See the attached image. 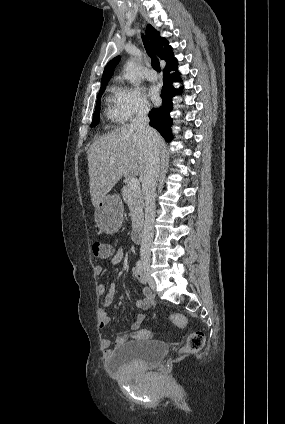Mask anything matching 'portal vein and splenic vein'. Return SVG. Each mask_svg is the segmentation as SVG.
Masks as SVG:
<instances>
[{
	"instance_id": "portal-vein-and-splenic-vein-1",
	"label": "portal vein and splenic vein",
	"mask_w": 285,
	"mask_h": 424,
	"mask_svg": "<svg viewBox=\"0 0 285 424\" xmlns=\"http://www.w3.org/2000/svg\"><path fill=\"white\" fill-rule=\"evenodd\" d=\"M128 186L132 190L140 189V182L137 178L133 177L128 181Z\"/></svg>"
}]
</instances>
